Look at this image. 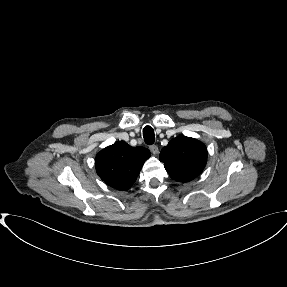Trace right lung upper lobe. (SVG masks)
Wrapping results in <instances>:
<instances>
[{
  "label": "right lung upper lobe",
  "instance_id": "1",
  "mask_svg": "<svg viewBox=\"0 0 287 287\" xmlns=\"http://www.w3.org/2000/svg\"><path fill=\"white\" fill-rule=\"evenodd\" d=\"M149 157L148 149L133 148L124 141H118L97 154L96 172L110 187L125 191L133 185Z\"/></svg>",
  "mask_w": 287,
  "mask_h": 287
}]
</instances>
